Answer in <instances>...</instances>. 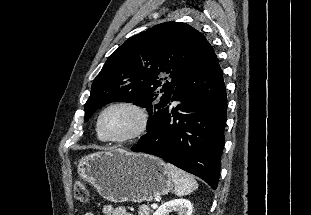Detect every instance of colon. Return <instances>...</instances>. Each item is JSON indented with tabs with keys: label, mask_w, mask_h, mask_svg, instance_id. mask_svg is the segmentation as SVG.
I'll list each match as a JSON object with an SVG mask.
<instances>
[{
	"label": "colon",
	"mask_w": 311,
	"mask_h": 215,
	"mask_svg": "<svg viewBox=\"0 0 311 215\" xmlns=\"http://www.w3.org/2000/svg\"><path fill=\"white\" fill-rule=\"evenodd\" d=\"M74 196L79 202H86L88 199V190L82 182H78L74 186Z\"/></svg>",
	"instance_id": "colon-1"
}]
</instances>
